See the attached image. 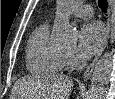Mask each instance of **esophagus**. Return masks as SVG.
Listing matches in <instances>:
<instances>
[{"label": "esophagus", "mask_w": 115, "mask_h": 99, "mask_svg": "<svg viewBox=\"0 0 115 99\" xmlns=\"http://www.w3.org/2000/svg\"><path fill=\"white\" fill-rule=\"evenodd\" d=\"M108 5H109V17L107 20V24H106V36H105V40L101 46V48L99 49L96 57L94 58V60L91 62V64L87 67L86 71L83 74V81H87L90 77L91 74L94 70V67L98 61V59L100 58L102 52L104 51L107 43H108V39L110 36V32H111V26H112V22H113V8H114V0H108Z\"/></svg>", "instance_id": "esophagus-1"}]
</instances>
